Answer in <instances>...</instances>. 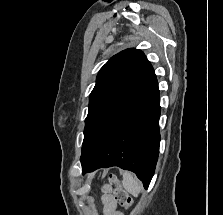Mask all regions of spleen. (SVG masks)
I'll list each match as a JSON object with an SVG mask.
<instances>
[{"label": "spleen", "mask_w": 223, "mask_h": 215, "mask_svg": "<svg viewBox=\"0 0 223 215\" xmlns=\"http://www.w3.org/2000/svg\"><path fill=\"white\" fill-rule=\"evenodd\" d=\"M122 183L125 189L129 191V193H132V195L138 197V193H140L142 185L141 183H139L138 179H135V177H133L132 173H129V171H125V173H123Z\"/></svg>", "instance_id": "1"}]
</instances>
